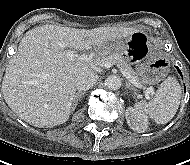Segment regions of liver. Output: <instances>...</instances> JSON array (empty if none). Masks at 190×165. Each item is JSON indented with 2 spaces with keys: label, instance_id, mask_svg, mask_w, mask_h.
<instances>
[{
  "label": "liver",
  "instance_id": "obj_1",
  "mask_svg": "<svg viewBox=\"0 0 190 165\" xmlns=\"http://www.w3.org/2000/svg\"><path fill=\"white\" fill-rule=\"evenodd\" d=\"M136 32L134 28L98 27L77 29L60 25L38 26L26 32L17 53L9 60L2 82L7 105L21 119L36 127L65 123L74 100L76 77L94 67L75 57L68 59V48L98 50L108 41Z\"/></svg>",
  "mask_w": 190,
  "mask_h": 165
}]
</instances>
